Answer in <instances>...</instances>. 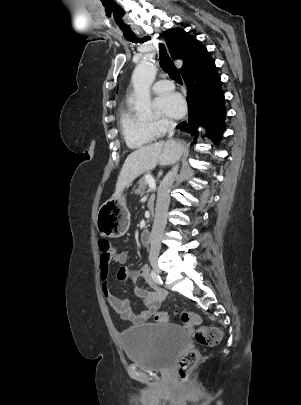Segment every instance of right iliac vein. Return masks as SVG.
<instances>
[{
	"mask_svg": "<svg viewBox=\"0 0 301 405\" xmlns=\"http://www.w3.org/2000/svg\"><path fill=\"white\" fill-rule=\"evenodd\" d=\"M150 263H151L153 269L155 270V272H157L159 274L161 271H160V269L158 267L157 257L156 256H151Z\"/></svg>",
	"mask_w": 301,
	"mask_h": 405,
	"instance_id": "63e3f726",
	"label": "right iliac vein"
}]
</instances>
